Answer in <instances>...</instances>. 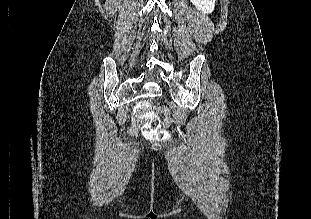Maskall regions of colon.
Wrapping results in <instances>:
<instances>
[{
	"mask_svg": "<svg viewBox=\"0 0 311 219\" xmlns=\"http://www.w3.org/2000/svg\"><path fill=\"white\" fill-rule=\"evenodd\" d=\"M138 119L144 121L142 132L151 141H167L170 139L169 132L163 128L159 116V110L153 108L148 102H140L135 107Z\"/></svg>",
	"mask_w": 311,
	"mask_h": 219,
	"instance_id": "5ec220e1",
	"label": "colon"
}]
</instances>
